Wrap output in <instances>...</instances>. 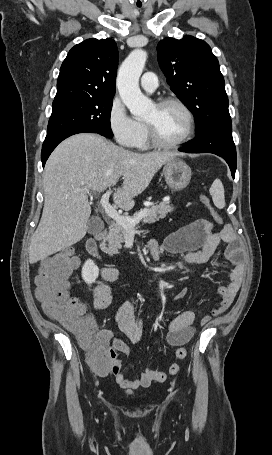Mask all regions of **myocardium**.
Instances as JSON below:
<instances>
[{
  "instance_id": "myocardium-1",
  "label": "myocardium",
  "mask_w": 272,
  "mask_h": 455,
  "mask_svg": "<svg viewBox=\"0 0 272 455\" xmlns=\"http://www.w3.org/2000/svg\"><path fill=\"white\" fill-rule=\"evenodd\" d=\"M168 105H175L183 111V113L185 114L186 119H187V129H186V132L183 135V137L181 139H179L178 141L173 142V143H165L158 138L152 124L145 121V126L147 129L149 142L154 147H157L160 149H176V148L181 147L182 145L187 143L192 138L194 131H195L194 115H193L192 111L190 110V108L185 103H183L181 100H179L177 98L165 97V98L160 99L156 103L155 106H157L158 108H161V107H165Z\"/></svg>"
}]
</instances>
